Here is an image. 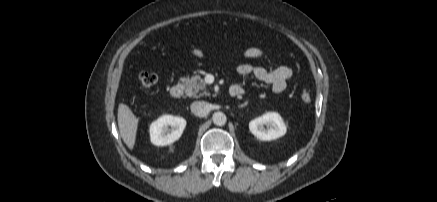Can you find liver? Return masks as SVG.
Returning a JSON list of instances; mask_svg holds the SVG:
<instances>
[{
    "label": "liver",
    "instance_id": "1",
    "mask_svg": "<svg viewBox=\"0 0 437 202\" xmlns=\"http://www.w3.org/2000/svg\"><path fill=\"white\" fill-rule=\"evenodd\" d=\"M118 127L120 136L129 149H133L136 141L139 118L123 103L118 106Z\"/></svg>",
    "mask_w": 437,
    "mask_h": 202
}]
</instances>
